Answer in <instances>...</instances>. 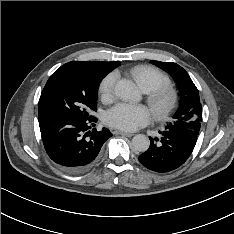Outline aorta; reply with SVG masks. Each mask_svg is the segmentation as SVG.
<instances>
[{
    "label": "aorta",
    "mask_w": 234,
    "mask_h": 234,
    "mask_svg": "<svg viewBox=\"0 0 234 234\" xmlns=\"http://www.w3.org/2000/svg\"><path fill=\"white\" fill-rule=\"evenodd\" d=\"M115 95L123 100L129 102H137L140 99V94L135 84L129 80H119L115 85ZM131 145L134 150L145 152L150 146L149 138L143 134H137L133 137Z\"/></svg>",
    "instance_id": "762f6f07"
}]
</instances>
